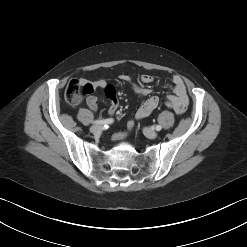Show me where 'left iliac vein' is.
Masks as SVG:
<instances>
[{
	"mask_svg": "<svg viewBox=\"0 0 247 247\" xmlns=\"http://www.w3.org/2000/svg\"><path fill=\"white\" fill-rule=\"evenodd\" d=\"M143 132H144V134L146 135V137H148V138H150V139H155V138H157V136H158V134H157L156 131H154V130L148 128V127H145V128L143 129Z\"/></svg>",
	"mask_w": 247,
	"mask_h": 247,
	"instance_id": "1",
	"label": "left iliac vein"
}]
</instances>
